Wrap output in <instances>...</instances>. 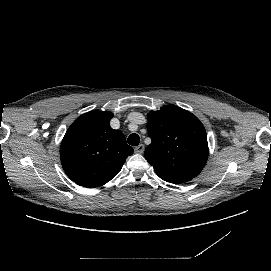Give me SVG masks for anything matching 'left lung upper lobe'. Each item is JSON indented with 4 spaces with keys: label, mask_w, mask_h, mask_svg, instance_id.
<instances>
[{
    "label": "left lung upper lobe",
    "mask_w": 271,
    "mask_h": 271,
    "mask_svg": "<svg viewBox=\"0 0 271 271\" xmlns=\"http://www.w3.org/2000/svg\"><path fill=\"white\" fill-rule=\"evenodd\" d=\"M151 144L145 158L157 173L196 177L208 158L207 134L200 120L177 106L148 114Z\"/></svg>",
    "instance_id": "left-lung-upper-lobe-1"
}]
</instances>
